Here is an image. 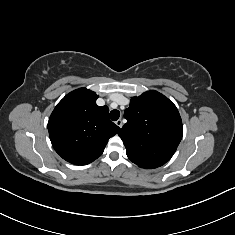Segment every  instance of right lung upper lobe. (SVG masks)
<instances>
[{"label": "right lung upper lobe", "mask_w": 235, "mask_h": 235, "mask_svg": "<svg viewBox=\"0 0 235 235\" xmlns=\"http://www.w3.org/2000/svg\"><path fill=\"white\" fill-rule=\"evenodd\" d=\"M98 95L86 88L67 94L53 110L48 131L55 151L66 161L86 165L104 151L120 128L108 118L107 106L96 105Z\"/></svg>", "instance_id": "1"}]
</instances>
